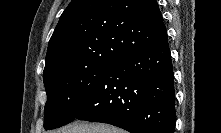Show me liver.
I'll return each mask as SVG.
<instances>
[{"instance_id": "liver-1", "label": "liver", "mask_w": 221, "mask_h": 133, "mask_svg": "<svg viewBox=\"0 0 221 133\" xmlns=\"http://www.w3.org/2000/svg\"><path fill=\"white\" fill-rule=\"evenodd\" d=\"M56 133H125L124 130L103 123L76 121L56 130Z\"/></svg>"}]
</instances>
